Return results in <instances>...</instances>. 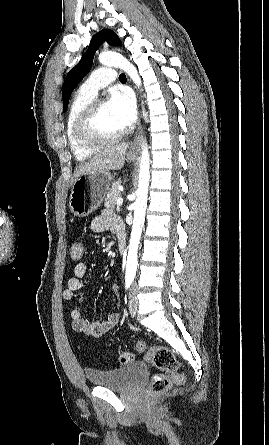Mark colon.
<instances>
[{
  "label": "colon",
  "instance_id": "5ec220e1",
  "mask_svg": "<svg viewBox=\"0 0 269 445\" xmlns=\"http://www.w3.org/2000/svg\"><path fill=\"white\" fill-rule=\"evenodd\" d=\"M84 247L80 241L72 243L70 247V257L73 261H78L83 256ZM140 352H146V360L150 362L159 372L151 380L148 388L149 395H158L165 392L172 384L180 383L183 376L178 372L179 362L174 353L165 346H151L146 349L143 341L137 343ZM134 360L132 352H124L119 358L120 364H128Z\"/></svg>",
  "mask_w": 269,
  "mask_h": 445
}]
</instances>
